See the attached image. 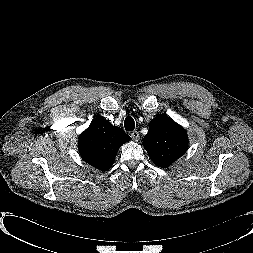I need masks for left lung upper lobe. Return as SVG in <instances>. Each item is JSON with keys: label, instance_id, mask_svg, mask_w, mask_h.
<instances>
[{"label": "left lung upper lobe", "instance_id": "obj_1", "mask_svg": "<svg viewBox=\"0 0 253 253\" xmlns=\"http://www.w3.org/2000/svg\"><path fill=\"white\" fill-rule=\"evenodd\" d=\"M143 146L158 167H168L187 150L185 129L165 115L156 116L143 138Z\"/></svg>", "mask_w": 253, "mask_h": 253}]
</instances>
